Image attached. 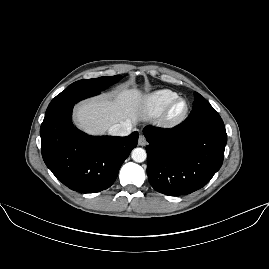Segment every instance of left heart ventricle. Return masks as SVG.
Segmentation results:
<instances>
[{"instance_id":"b2bd125f","label":"left heart ventricle","mask_w":269,"mask_h":269,"mask_svg":"<svg viewBox=\"0 0 269 269\" xmlns=\"http://www.w3.org/2000/svg\"><path fill=\"white\" fill-rule=\"evenodd\" d=\"M182 108H183V102H180V103L177 105L176 110H177V111H180Z\"/></svg>"}]
</instances>
